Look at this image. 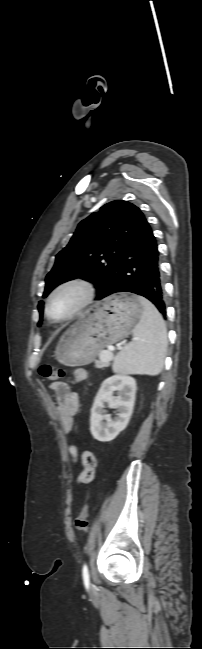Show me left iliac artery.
I'll list each match as a JSON object with an SVG mask.
<instances>
[{"instance_id":"left-iliac-artery-1","label":"left iliac artery","mask_w":202,"mask_h":649,"mask_svg":"<svg viewBox=\"0 0 202 649\" xmlns=\"http://www.w3.org/2000/svg\"><path fill=\"white\" fill-rule=\"evenodd\" d=\"M82 576H83V581H84L85 587L88 588L89 587V582H90V576H89V571H88V567H87L86 564H84V566H83Z\"/></svg>"}]
</instances>
